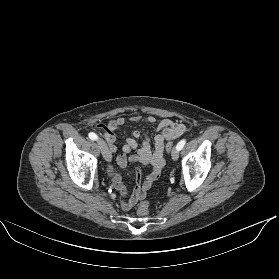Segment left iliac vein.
<instances>
[{"mask_svg": "<svg viewBox=\"0 0 279 279\" xmlns=\"http://www.w3.org/2000/svg\"><path fill=\"white\" fill-rule=\"evenodd\" d=\"M171 157H172V159H173L174 161H176V160L178 159V157H179V150H178L176 147H174V148L172 149Z\"/></svg>", "mask_w": 279, "mask_h": 279, "instance_id": "left-iliac-vein-1", "label": "left iliac vein"}]
</instances>
